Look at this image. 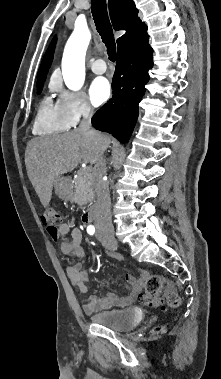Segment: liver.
<instances>
[{
    "mask_svg": "<svg viewBox=\"0 0 221 379\" xmlns=\"http://www.w3.org/2000/svg\"><path fill=\"white\" fill-rule=\"evenodd\" d=\"M110 142L100 132L79 129L29 141L25 151L27 174L43 207H48L59 175L71 172L81 161L95 164Z\"/></svg>",
    "mask_w": 221,
    "mask_h": 379,
    "instance_id": "6515ba94",
    "label": "liver"
}]
</instances>
